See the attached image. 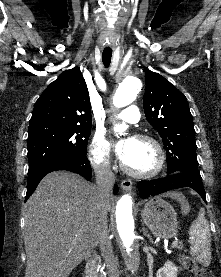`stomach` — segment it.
<instances>
[{"mask_svg":"<svg viewBox=\"0 0 221 277\" xmlns=\"http://www.w3.org/2000/svg\"><path fill=\"white\" fill-rule=\"evenodd\" d=\"M182 210L183 212L188 211L185 201H182ZM141 217L155 236L169 239L177 234V213L161 197L150 199L141 210Z\"/></svg>","mask_w":221,"mask_h":277,"instance_id":"stomach-1","label":"stomach"}]
</instances>
